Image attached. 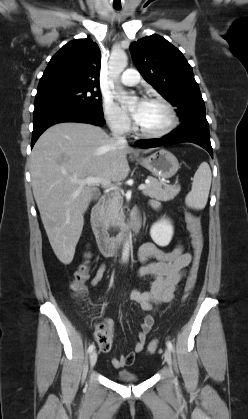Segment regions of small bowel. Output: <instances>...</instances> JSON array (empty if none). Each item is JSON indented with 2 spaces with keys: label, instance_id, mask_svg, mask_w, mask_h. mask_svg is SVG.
Segmentation results:
<instances>
[{
  "label": "small bowel",
  "instance_id": "obj_1",
  "mask_svg": "<svg viewBox=\"0 0 248 419\" xmlns=\"http://www.w3.org/2000/svg\"><path fill=\"white\" fill-rule=\"evenodd\" d=\"M156 209L158 203L151 202ZM138 259L141 266L137 270L138 277L150 276L153 281L149 291L133 289L130 299L138 304L143 310L149 311L155 305L172 300L179 283L186 276L187 268L192 261V255L183 250L181 245H176L171 250H166L154 243H144L138 250ZM106 266L101 265L90 281L91 286H96L104 277ZM111 325V322L108 321ZM154 324V316L146 315L141 323L138 340L131 352L112 359L115 368L131 366L135 362L136 355L143 351L146 338ZM102 353H108L112 347V338L105 344H98Z\"/></svg>",
  "mask_w": 248,
  "mask_h": 419
}]
</instances>
